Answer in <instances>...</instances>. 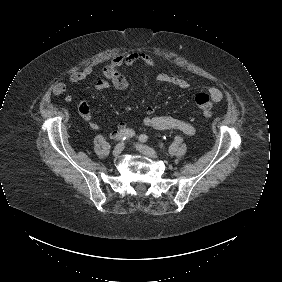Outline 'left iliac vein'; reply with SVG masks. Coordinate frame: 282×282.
Wrapping results in <instances>:
<instances>
[{
    "label": "left iliac vein",
    "mask_w": 282,
    "mask_h": 282,
    "mask_svg": "<svg viewBox=\"0 0 282 282\" xmlns=\"http://www.w3.org/2000/svg\"><path fill=\"white\" fill-rule=\"evenodd\" d=\"M136 149L148 157L158 158V154L156 153V151L150 148L149 146L137 144Z\"/></svg>",
    "instance_id": "obj_1"
}]
</instances>
